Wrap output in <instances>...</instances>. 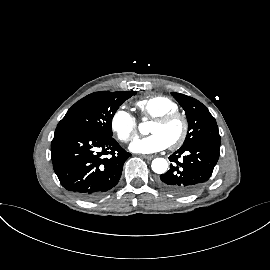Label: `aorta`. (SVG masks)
<instances>
[{
	"instance_id": "obj_1",
	"label": "aorta",
	"mask_w": 270,
	"mask_h": 270,
	"mask_svg": "<svg viewBox=\"0 0 270 270\" xmlns=\"http://www.w3.org/2000/svg\"><path fill=\"white\" fill-rule=\"evenodd\" d=\"M148 126L147 123H142L139 125V131L142 134H147ZM152 170L157 174H163L167 171L168 162L164 158H156L151 164Z\"/></svg>"
}]
</instances>
